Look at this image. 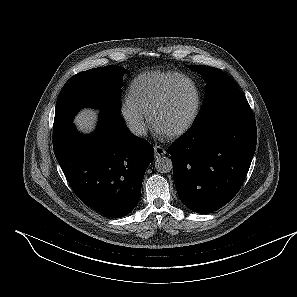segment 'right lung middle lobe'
Segmentation results:
<instances>
[{"instance_id": "dd1d6c3e", "label": "right lung middle lobe", "mask_w": 297, "mask_h": 297, "mask_svg": "<svg viewBox=\"0 0 297 297\" xmlns=\"http://www.w3.org/2000/svg\"><path fill=\"white\" fill-rule=\"evenodd\" d=\"M123 67L109 65L80 72L72 76L61 90L56 104L53 142L58 141L72 124L79 109L94 107L121 114L119 98Z\"/></svg>"}]
</instances>
